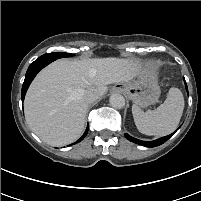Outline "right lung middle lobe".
Wrapping results in <instances>:
<instances>
[{
  "instance_id": "dd1d6c3e",
  "label": "right lung middle lobe",
  "mask_w": 201,
  "mask_h": 201,
  "mask_svg": "<svg viewBox=\"0 0 201 201\" xmlns=\"http://www.w3.org/2000/svg\"><path fill=\"white\" fill-rule=\"evenodd\" d=\"M44 55L55 57L56 59L74 56L73 54L65 53V52L47 53Z\"/></svg>"
}]
</instances>
